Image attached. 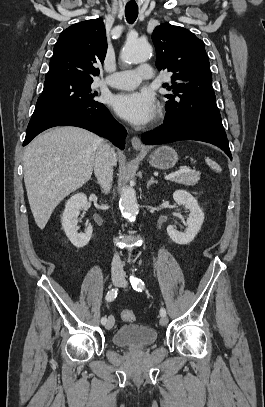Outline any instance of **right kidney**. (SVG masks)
Returning <instances> with one entry per match:
<instances>
[{
  "instance_id": "obj_1",
  "label": "right kidney",
  "mask_w": 265,
  "mask_h": 407,
  "mask_svg": "<svg viewBox=\"0 0 265 407\" xmlns=\"http://www.w3.org/2000/svg\"><path fill=\"white\" fill-rule=\"evenodd\" d=\"M87 205V197L84 193L73 195L66 203L61 222L64 232L70 242L76 248H82L88 244L92 237L93 228L89 225L84 233H78V216L80 210Z\"/></svg>"
}]
</instances>
